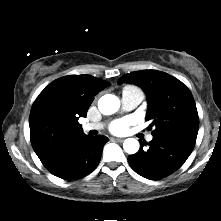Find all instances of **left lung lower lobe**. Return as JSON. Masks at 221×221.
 <instances>
[{
	"label": "left lung lower lobe",
	"mask_w": 221,
	"mask_h": 221,
	"mask_svg": "<svg viewBox=\"0 0 221 221\" xmlns=\"http://www.w3.org/2000/svg\"><path fill=\"white\" fill-rule=\"evenodd\" d=\"M195 143L180 136H153L148 150H144L146 142H141L139 151L128 157L132 169L139 175L158 180L164 178L177 169L190 156Z\"/></svg>",
	"instance_id": "obj_1"
}]
</instances>
